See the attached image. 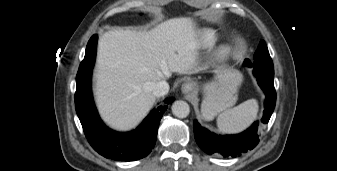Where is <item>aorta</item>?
I'll use <instances>...</instances> for the list:
<instances>
[{
  "instance_id": "aorta-1",
  "label": "aorta",
  "mask_w": 337,
  "mask_h": 171,
  "mask_svg": "<svg viewBox=\"0 0 337 171\" xmlns=\"http://www.w3.org/2000/svg\"><path fill=\"white\" fill-rule=\"evenodd\" d=\"M172 113L178 118H186L190 113V107L187 102L183 100L175 101L172 104Z\"/></svg>"
}]
</instances>
